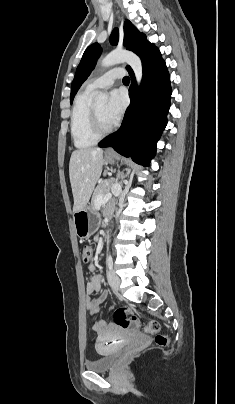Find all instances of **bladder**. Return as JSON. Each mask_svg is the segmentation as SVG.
I'll list each match as a JSON object with an SVG mask.
<instances>
[{"label": "bladder", "instance_id": "obj_1", "mask_svg": "<svg viewBox=\"0 0 235 404\" xmlns=\"http://www.w3.org/2000/svg\"><path fill=\"white\" fill-rule=\"evenodd\" d=\"M98 352H103L104 349L101 346H97ZM121 351H114L112 353L102 354L94 361L85 363V366L90 371L94 372H106L110 371L116 364Z\"/></svg>", "mask_w": 235, "mask_h": 404}]
</instances>
